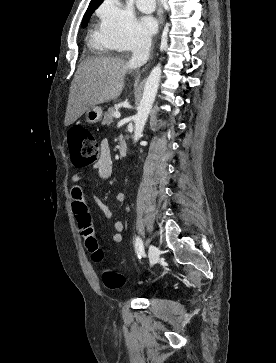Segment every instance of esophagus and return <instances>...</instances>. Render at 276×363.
<instances>
[{
	"label": "esophagus",
	"mask_w": 276,
	"mask_h": 363,
	"mask_svg": "<svg viewBox=\"0 0 276 363\" xmlns=\"http://www.w3.org/2000/svg\"><path fill=\"white\" fill-rule=\"evenodd\" d=\"M158 3H159V6H160V8H159V22H160V25H162L164 18H163V7H162L161 0H158Z\"/></svg>",
	"instance_id": "obj_1"
}]
</instances>
